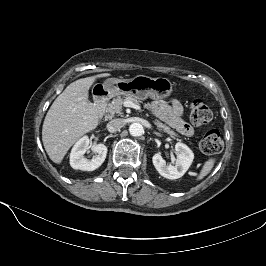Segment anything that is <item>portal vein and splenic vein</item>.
<instances>
[{
    "label": "portal vein and splenic vein",
    "mask_w": 266,
    "mask_h": 266,
    "mask_svg": "<svg viewBox=\"0 0 266 266\" xmlns=\"http://www.w3.org/2000/svg\"><path fill=\"white\" fill-rule=\"evenodd\" d=\"M124 106L125 107H131V108H134L136 110H141V107L139 105L133 103L132 101H125Z\"/></svg>",
    "instance_id": "18ae733b"
}]
</instances>
